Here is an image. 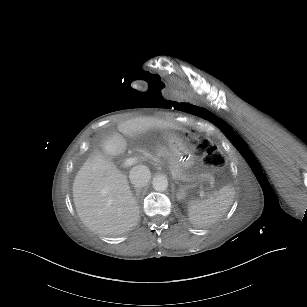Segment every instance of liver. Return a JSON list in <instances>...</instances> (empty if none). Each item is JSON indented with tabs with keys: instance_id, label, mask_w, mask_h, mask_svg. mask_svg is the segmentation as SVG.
Segmentation results:
<instances>
[{
	"instance_id": "1",
	"label": "liver",
	"mask_w": 307,
	"mask_h": 307,
	"mask_svg": "<svg viewBox=\"0 0 307 307\" xmlns=\"http://www.w3.org/2000/svg\"><path fill=\"white\" fill-rule=\"evenodd\" d=\"M122 146L115 156L124 155L127 141L123 136L136 139L156 130H180L171 120L138 117L121 122L117 126ZM112 146V142L110 143ZM110 153V152H109ZM73 200L83 224L100 235H119L136 227L139 206L130 189L127 176L101 155L88 158L73 183Z\"/></svg>"
}]
</instances>
